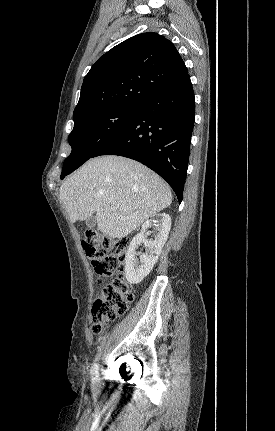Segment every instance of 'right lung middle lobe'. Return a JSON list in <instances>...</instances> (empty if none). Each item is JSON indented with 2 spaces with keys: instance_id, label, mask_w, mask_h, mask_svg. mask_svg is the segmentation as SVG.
Returning a JSON list of instances; mask_svg holds the SVG:
<instances>
[{
  "instance_id": "dd1d6c3e",
  "label": "right lung middle lobe",
  "mask_w": 275,
  "mask_h": 431,
  "mask_svg": "<svg viewBox=\"0 0 275 431\" xmlns=\"http://www.w3.org/2000/svg\"><path fill=\"white\" fill-rule=\"evenodd\" d=\"M138 107L118 106L89 113L76 121L69 135L71 154L65 159L61 179L81 166L133 119Z\"/></svg>"
}]
</instances>
